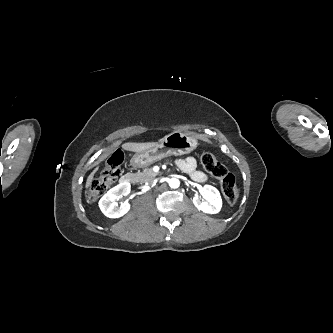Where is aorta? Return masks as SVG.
I'll return each instance as SVG.
<instances>
[{"mask_svg":"<svg viewBox=\"0 0 333 333\" xmlns=\"http://www.w3.org/2000/svg\"><path fill=\"white\" fill-rule=\"evenodd\" d=\"M168 184L171 188L176 189L180 186V181L177 178H171L169 179Z\"/></svg>","mask_w":333,"mask_h":333,"instance_id":"aorta-1","label":"aorta"}]
</instances>
